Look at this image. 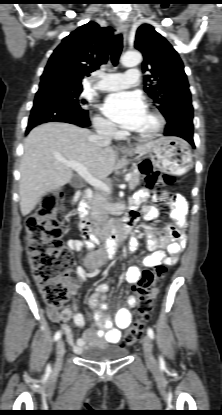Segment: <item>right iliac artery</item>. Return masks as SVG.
Segmentation results:
<instances>
[{
	"label": "right iliac artery",
	"mask_w": 222,
	"mask_h": 415,
	"mask_svg": "<svg viewBox=\"0 0 222 415\" xmlns=\"http://www.w3.org/2000/svg\"><path fill=\"white\" fill-rule=\"evenodd\" d=\"M60 337H61V332L60 331L56 332V334L54 336L55 341L59 340Z\"/></svg>",
	"instance_id": "82829eb1"
}]
</instances>
